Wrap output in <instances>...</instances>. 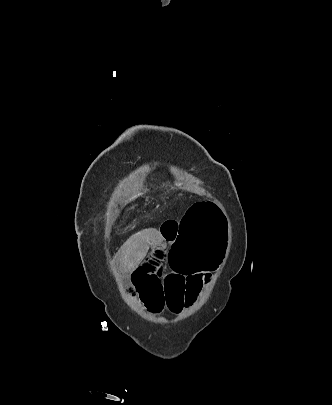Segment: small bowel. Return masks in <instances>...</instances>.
Here are the masks:
<instances>
[{"mask_svg": "<svg viewBox=\"0 0 332 405\" xmlns=\"http://www.w3.org/2000/svg\"><path fill=\"white\" fill-rule=\"evenodd\" d=\"M174 240L176 221H165L134 233L113 257L120 273L141 292L147 315H166V308L181 312L196 301L209 279L210 275H178L168 266Z\"/></svg>", "mask_w": 332, "mask_h": 405, "instance_id": "1", "label": "small bowel"}]
</instances>
